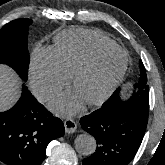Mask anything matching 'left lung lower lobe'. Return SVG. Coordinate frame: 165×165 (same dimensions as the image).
Listing matches in <instances>:
<instances>
[{
	"instance_id": "1",
	"label": "left lung lower lobe",
	"mask_w": 165,
	"mask_h": 165,
	"mask_svg": "<svg viewBox=\"0 0 165 165\" xmlns=\"http://www.w3.org/2000/svg\"><path fill=\"white\" fill-rule=\"evenodd\" d=\"M148 113L105 106L80 119L82 129L97 140L96 151L82 165H128L146 131Z\"/></svg>"
}]
</instances>
